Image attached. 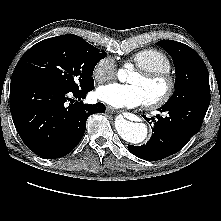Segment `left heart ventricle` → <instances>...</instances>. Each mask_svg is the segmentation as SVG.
<instances>
[{"label":"left heart ventricle","instance_id":"obj_1","mask_svg":"<svg viewBox=\"0 0 221 221\" xmlns=\"http://www.w3.org/2000/svg\"><path fill=\"white\" fill-rule=\"evenodd\" d=\"M130 84L137 85L142 90L145 100L150 101L159 97L166 88V84L161 80H148L134 72L128 77Z\"/></svg>","mask_w":221,"mask_h":221}]
</instances>
